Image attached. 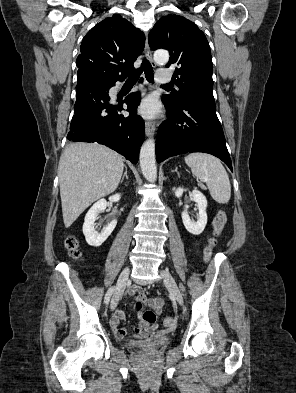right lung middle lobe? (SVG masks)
Here are the masks:
<instances>
[{
    "label": "right lung middle lobe",
    "instance_id": "1",
    "mask_svg": "<svg viewBox=\"0 0 296 393\" xmlns=\"http://www.w3.org/2000/svg\"><path fill=\"white\" fill-rule=\"evenodd\" d=\"M100 82H101V84L102 85H104L105 87H108V86H110L111 84L110 83H108V82H106V81H104V80H100V79H98Z\"/></svg>",
    "mask_w": 296,
    "mask_h": 393
}]
</instances>
